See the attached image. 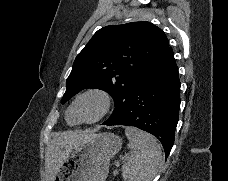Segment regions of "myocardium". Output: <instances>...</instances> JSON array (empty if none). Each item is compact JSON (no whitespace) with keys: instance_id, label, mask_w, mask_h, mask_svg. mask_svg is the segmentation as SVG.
I'll use <instances>...</instances> for the list:
<instances>
[{"instance_id":"myocardium-1","label":"myocardium","mask_w":228,"mask_h":181,"mask_svg":"<svg viewBox=\"0 0 228 181\" xmlns=\"http://www.w3.org/2000/svg\"><path fill=\"white\" fill-rule=\"evenodd\" d=\"M86 97H93L98 100V109L96 114L90 118V119H82L80 118L79 115V102L81 99L86 98ZM110 97L108 94L102 91H95V90H90L87 91L83 94H81L74 102V112L75 114L80 118L81 121L86 122V123H94L100 120L108 111L109 106H110Z\"/></svg>"}]
</instances>
